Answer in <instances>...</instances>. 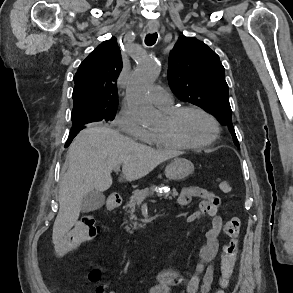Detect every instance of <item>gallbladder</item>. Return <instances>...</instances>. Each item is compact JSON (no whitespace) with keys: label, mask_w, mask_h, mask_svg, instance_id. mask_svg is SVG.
I'll return each mask as SVG.
<instances>
[{"label":"gallbladder","mask_w":293,"mask_h":293,"mask_svg":"<svg viewBox=\"0 0 293 293\" xmlns=\"http://www.w3.org/2000/svg\"><path fill=\"white\" fill-rule=\"evenodd\" d=\"M105 203V196L98 191L87 193L81 201L82 212H92L100 209Z\"/></svg>","instance_id":"gallbladder-1"}]
</instances>
